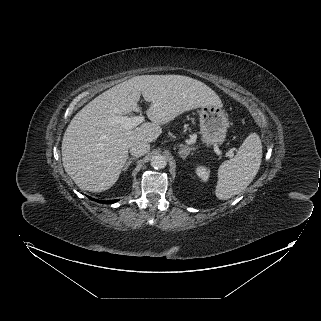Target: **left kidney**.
Here are the masks:
<instances>
[{
	"label": "left kidney",
	"instance_id": "obj_1",
	"mask_svg": "<svg viewBox=\"0 0 321 321\" xmlns=\"http://www.w3.org/2000/svg\"><path fill=\"white\" fill-rule=\"evenodd\" d=\"M195 172L197 174V176L203 180V181H207L209 179L210 176V170L205 167V166H197L195 168Z\"/></svg>",
	"mask_w": 321,
	"mask_h": 321
}]
</instances>
